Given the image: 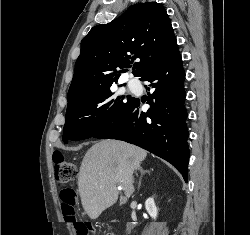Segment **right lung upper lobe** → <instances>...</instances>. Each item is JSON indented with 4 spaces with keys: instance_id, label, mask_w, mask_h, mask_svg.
<instances>
[{
    "instance_id": "1",
    "label": "right lung upper lobe",
    "mask_w": 250,
    "mask_h": 235,
    "mask_svg": "<svg viewBox=\"0 0 250 235\" xmlns=\"http://www.w3.org/2000/svg\"><path fill=\"white\" fill-rule=\"evenodd\" d=\"M176 42L165 8L156 2L135 4L108 24L93 27L81 41V53L68 91V103L117 82L118 68L135 59L134 76L143 77Z\"/></svg>"
}]
</instances>
